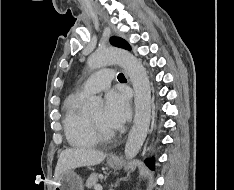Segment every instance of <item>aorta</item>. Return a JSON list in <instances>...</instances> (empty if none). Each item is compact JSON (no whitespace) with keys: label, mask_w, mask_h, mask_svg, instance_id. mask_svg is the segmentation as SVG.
Listing matches in <instances>:
<instances>
[{"label":"aorta","mask_w":234,"mask_h":190,"mask_svg":"<svg viewBox=\"0 0 234 190\" xmlns=\"http://www.w3.org/2000/svg\"><path fill=\"white\" fill-rule=\"evenodd\" d=\"M119 64L128 74L134 88L135 116L129 133L125 156L135 157L141 149L151 120V87L146 69L142 63L130 52L118 48H104L95 51L88 59L90 69H98L108 64ZM102 102L100 97H92L91 108Z\"/></svg>","instance_id":"obj_1"}]
</instances>
